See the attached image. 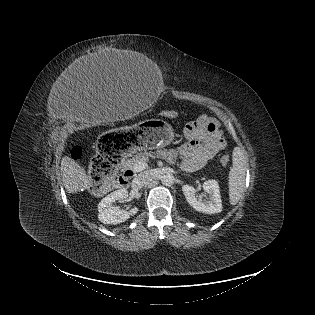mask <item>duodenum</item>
Here are the masks:
<instances>
[{
	"label": "duodenum",
	"mask_w": 315,
	"mask_h": 315,
	"mask_svg": "<svg viewBox=\"0 0 315 315\" xmlns=\"http://www.w3.org/2000/svg\"><path fill=\"white\" fill-rule=\"evenodd\" d=\"M134 172L128 167H122L121 174L117 180L118 187H126L129 184L130 179L133 177Z\"/></svg>",
	"instance_id": "duodenum-1"
}]
</instances>
